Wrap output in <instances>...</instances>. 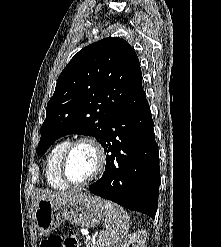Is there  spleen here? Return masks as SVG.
Listing matches in <instances>:
<instances>
[{
    "label": "spleen",
    "mask_w": 221,
    "mask_h": 247,
    "mask_svg": "<svg viewBox=\"0 0 221 247\" xmlns=\"http://www.w3.org/2000/svg\"><path fill=\"white\" fill-rule=\"evenodd\" d=\"M104 212L106 228L98 237L99 247L118 244L126 237L129 230L130 218L122 207L106 201Z\"/></svg>",
    "instance_id": "1"
}]
</instances>
